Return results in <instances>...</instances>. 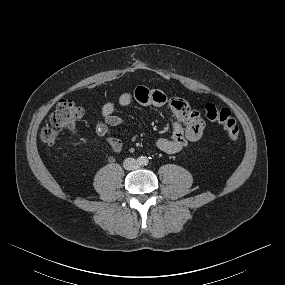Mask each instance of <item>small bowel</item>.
<instances>
[{"mask_svg": "<svg viewBox=\"0 0 285 285\" xmlns=\"http://www.w3.org/2000/svg\"><path fill=\"white\" fill-rule=\"evenodd\" d=\"M144 106L166 108L171 118V136L159 137L155 141L156 147L165 153L176 154L182 151L190 142L198 141L204 132L205 122L199 111L180 99L168 100L166 95L159 90H152L144 86L137 87L132 92H124L118 98L121 107H128L133 102ZM116 104L106 102L101 110L102 119L96 124V133L104 137L112 151L119 154L122 150V141L111 134V128L120 126L123 119L115 115Z\"/></svg>", "mask_w": 285, "mask_h": 285, "instance_id": "small-bowel-1", "label": "small bowel"}]
</instances>
